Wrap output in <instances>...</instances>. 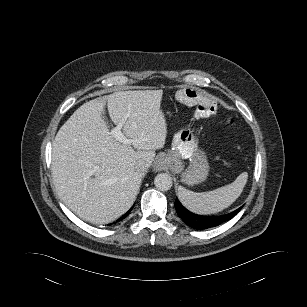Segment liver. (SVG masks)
Returning <instances> with one entry per match:
<instances>
[{"mask_svg": "<svg viewBox=\"0 0 307 307\" xmlns=\"http://www.w3.org/2000/svg\"><path fill=\"white\" fill-rule=\"evenodd\" d=\"M162 95L163 90L114 92L84 103L59 129L52 143L53 182L77 216L105 224L131 208L144 175L136 165L145 162L148 169L166 142ZM106 103L130 144L110 134Z\"/></svg>", "mask_w": 307, "mask_h": 307, "instance_id": "liver-1", "label": "liver"}]
</instances>
